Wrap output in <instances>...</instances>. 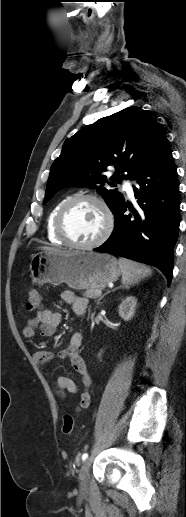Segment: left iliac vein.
I'll return each instance as SVG.
<instances>
[{"label": "left iliac vein", "mask_w": 186, "mask_h": 517, "mask_svg": "<svg viewBox=\"0 0 186 517\" xmlns=\"http://www.w3.org/2000/svg\"><path fill=\"white\" fill-rule=\"evenodd\" d=\"M91 466V460L86 459L81 466L80 472H79V487L82 492L86 491L87 489V476L89 472V468Z\"/></svg>", "instance_id": "left-iliac-vein-1"}]
</instances>
